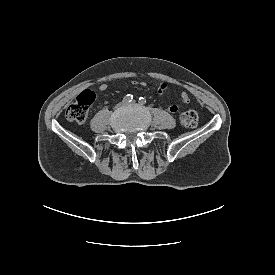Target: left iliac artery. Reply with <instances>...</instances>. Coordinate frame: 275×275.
I'll return each instance as SVG.
<instances>
[{
  "mask_svg": "<svg viewBox=\"0 0 275 275\" xmlns=\"http://www.w3.org/2000/svg\"><path fill=\"white\" fill-rule=\"evenodd\" d=\"M139 103H140L141 105H144V104L146 103V99L143 98V97H140V98H139Z\"/></svg>",
  "mask_w": 275,
  "mask_h": 275,
  "instance_id": "obj_1",
  "label": "left iliac artery"
}]
</instances>
